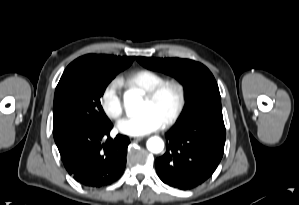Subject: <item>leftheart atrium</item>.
I'll return each mask as SVG.
<instances>
[{"label":"left heart atrium","mask_w":299,"mask_h":205,"mask_svg":"<svg viewBox=\"0 0 299 205\" xmlns=\"http://www.w3.org/2000/svg\"><path fill=\"white\" fill-rule=\"evenodd\" d=\"M162 126V121L151 111H144L136 116L125 118L117 124L122 134L131 137H141Z\"/></svg>","instance_id":"39dd6f15"}]
</instances>
